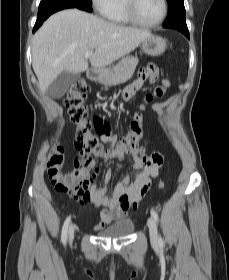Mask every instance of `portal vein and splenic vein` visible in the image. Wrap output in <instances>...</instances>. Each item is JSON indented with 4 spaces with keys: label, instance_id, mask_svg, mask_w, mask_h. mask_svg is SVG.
<instances>
[{
    "label": "portal vein and splenic vein",
    "instance_id": "1",
    "mask_svg": "<svg viewBox=\"0 0 229 280\" xmlns=\"http://www.w3.org/2000/svg\"><path fill=\"white\" fill-rule=\"evenodd\" d=\"M93 54V51H88L84 54V58L88 59Z\"/></svg>",
    "mask_w": 229,
    "mask_h": 280
}]
</instances>
